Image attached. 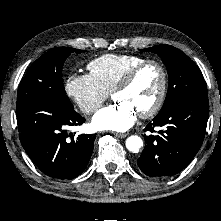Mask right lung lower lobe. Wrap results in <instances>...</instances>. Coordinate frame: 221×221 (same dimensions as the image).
Here are the masks:
<instances>
[{"label": "right lung lower lobe", "instance_id": "obj_1", "mask_svg": "<svg viewBox=\"0 0 221 221\" xmlns=\"http://www.w3.org/2000/svg\"><path fill=\"white\" fill-rule=\"evenodd\" d=\"M19 138L30 159L46 175L73 179L86 168L96 135L75 137L66 128L85 119L53 101L33 99L16 107Z\"/></svg>", "mask_w": 221, "mask_h": 221}]
</instances>
